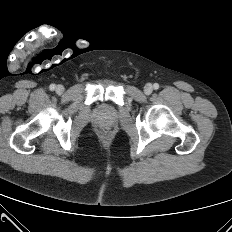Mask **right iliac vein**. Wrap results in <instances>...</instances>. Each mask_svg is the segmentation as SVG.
Here are the masks:
<instances>
[{
    "mask_svg": "<svg viewBox=\"0 0 232 232\" xmlns=\"http://www.w3.org/2000/svg\"><path fill=\"white\" fill-rule=\"evenodd\" d=\"M56 92H57L58 94H62V93L64 92V87H63L62 85H58V86L56 87Z\"/></svg>",
    "mask_w": 232,
    "mask_h": 232,
    "instance_id": "1",
    "label": "right iliac vein"
}]
</instances>
